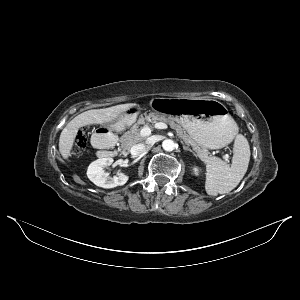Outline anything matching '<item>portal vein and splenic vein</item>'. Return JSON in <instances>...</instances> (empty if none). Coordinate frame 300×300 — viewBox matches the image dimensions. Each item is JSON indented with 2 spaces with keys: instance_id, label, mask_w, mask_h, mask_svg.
<instances>
[{
  "instance_id": "portal-vein-and-splenic-vein-1",
  "label": "portal vein and splenic vein",
  "mask_w": 300,
  "mask_h": 300,
  "mask_svg": "<svg viewBox=\"0 0 300 300\" xmlns=\"http://www.w3.org/2000/svg\"><path fill=\"white\" fill-rule=\"evenodd\" d=\"M155 128L157 129H167L168 126L163 123V122H157L155 124ZM141 135L146 137V136H150L151 135V128L146 126V127H143L142 130H141Z\"/></svg>"
}]
</instances>
